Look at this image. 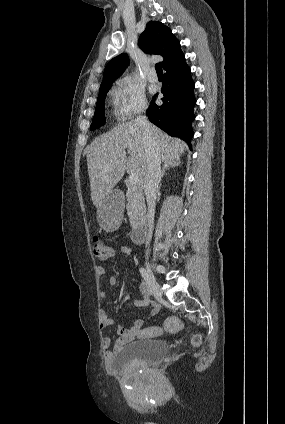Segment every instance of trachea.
I'll list each match as a JSON object with an SVG mask.
<instances>
[{"instance_id": "3493384b", "label": "trachea", "mask_w": 285, "mask_h": 424, "mask_svg": "<svg viewBox=\"0 0 285 424\" xmlns=\"http://www.w3.org/2000/svg\"><path fill=\"white\" fill-rule=\"evenodd\" d=\"M155 69H156L157 74H163L162 67H161L160 63H157L155 65Z\"/></svg>"}]
</instances>
